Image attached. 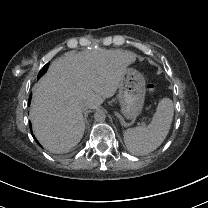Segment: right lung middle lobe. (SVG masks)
I'll return each instance as SVG.
<instances>
[{
    "label": "right lung middle lobe",
    "instance_id": "obj_1",
    "mask_svg": "<svg viewBox=\"0 0 208 208\" xmlns=\"http://www.w3.org/2000/svg\"><path fill=\"white\" fill-rule=\"evenodd\" d=\"M47 68L46 65L42 68V70L38 74V79L46 72Z\"/></svg>",
    "mask_w": 208,
    "mask_h": 208
}]
</instances>
